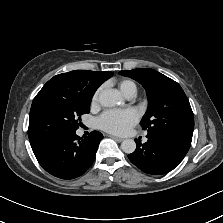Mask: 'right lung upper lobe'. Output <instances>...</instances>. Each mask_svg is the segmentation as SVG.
<instances>
[{
  "mask_svg": "<svg viewBox=\"0 0 223 223\" xmlns=\"http://www.w3.org/2000/svg\"><path fill=\"white\" fill-rule=\"evenodd\" d=\"M112 75L109 71L74 70L54 76L43 88L92 99L96 89Z\"/></svg>",
  "mask_w": 223,
  "mask_h": 223,
  "instance_id": "right-lung-upper-lobe-1",
  "label": "right lung upper lobe"
}]
</instances>
